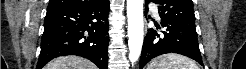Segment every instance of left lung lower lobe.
<instances>
[{
    "mask_svg": "<svg viewBox=\"0 0 246 69\" xmlns=\"http://www.w3.org/2000/svg\"><path fill=\"white\" fill-rule=\"evenodd\" d=\"M149 2V0H146L145 13L148 12ZM161 25L166 28L161 34L153 29L148 30L143 43L139 69H142L151 59L166 53L182 54L204 65L195 27L175 23L162 17ZM157 28H159V25Z\"/></svg>",
    "mask_w": 246,
    "mask_h": 69,
    "instance_id": "0a47b994",
    "label": "left lung lower lobe"
}]
</instances>
